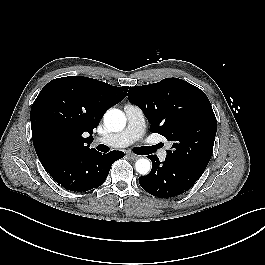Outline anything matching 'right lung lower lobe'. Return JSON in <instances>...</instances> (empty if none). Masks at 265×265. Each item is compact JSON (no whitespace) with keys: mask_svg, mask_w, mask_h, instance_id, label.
<instances>
[{"mask_svg":"<svg viewBox=\"0 0 265 265\" xmlns=\"http://www.w3.org/2000/svg\"><path fill=\"white\" fill-rule=\"evenodd\" d=\"M123 156L121 151L101 154L94 149L54 160L43 167L65 189L84 192L101 186L111 165Z\"/></svg>","mask_w":265,"mask_h":265,"instance_id":"right-lung-lower-lobe-1","label":"right lung lower lobe"}]
</instances>
